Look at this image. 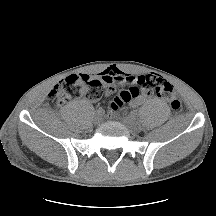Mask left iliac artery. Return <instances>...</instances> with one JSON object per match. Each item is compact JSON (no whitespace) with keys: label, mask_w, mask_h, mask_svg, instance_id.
<instances>
[{"label":"left iliac artery","mask_w":216,"mask_h":216,"mask_svg":"<svg viewBox=\"0 0 216 216\" xmlns=\"http://www.w3.org/2000/svg\"><path fill=\"white\" fill-rule=\"evenodd\" d=\"M131 115L136 116L137 112H132Z\"/></svg>","instance_id":"obj_1"}]
</instances>
